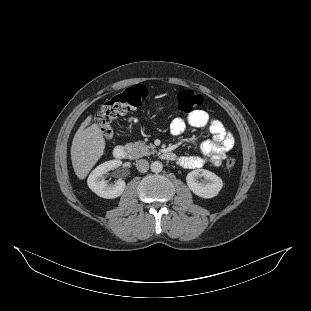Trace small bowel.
Instances as JSON below:
<instances>
[{"label":"small bowel","mask_w":311,"mask_h":311,"mask_svg":"<svg viewBox=\"0 0 311 311\" xmlns=\"http://www.w3.org/2000/svg\"><path fill=\"white\" fill-rule=\"evenodd\" d=\"M133 119L132 122H136ZM189 124L196 128H202L210 134L209 140L201 143L199 150L201 156L185 155L178 158V164L187 169H198L207 162L214 166H220L229 152L234 146V137L226 130L224 125L217 119L211 118L204 110H195L191 112L187 120L178 117L170 124V132L174 136L182 134Z\"/></svg>","instance_id":"1"}]
</instances>
